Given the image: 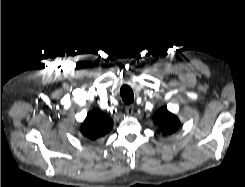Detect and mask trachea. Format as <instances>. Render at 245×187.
<instances>
[{"mask_svg":"<svg viewBox=\"0 0 245 187\" xmlns=\"http://www.w3.org/2000/svg\"><path fill=\"white\" fill-rule=\"evenodd\" d=\"M120 95L125 104H131L134 100L133 91L128 85H124L121 87Z\"/></svg>","mask_w":245,"mask_h":187,"instance_id":"obj_1","label":"trachea"}]
</instances>
